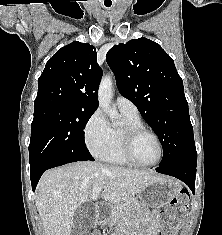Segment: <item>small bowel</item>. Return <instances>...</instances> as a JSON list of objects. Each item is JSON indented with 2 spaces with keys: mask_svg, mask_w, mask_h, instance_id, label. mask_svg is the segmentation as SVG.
<instances>
[{
  "mask_svg": "<svg viewBox=\"0 0 222 235\" xmlns=\"http://www.w3.org/2000/svg\"><path fill=\"white\" fill-rule=\"evenodd\" d=\"M158 230V212H153L147 223L146 235H157ZM114 235H126L124 230H120Z\"/></svg>",
  "mask_w": 222,
  "mask_h": 235,
  "instance_id": "1",
  "label": "small bowel"
}]
</instances>
